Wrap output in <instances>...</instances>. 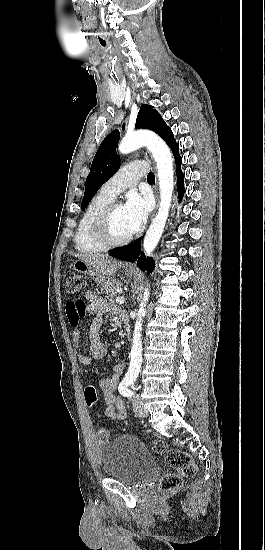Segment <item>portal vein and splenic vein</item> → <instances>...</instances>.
<instances>
[{"mask_svg": "<svg viewBox=\"0 0 265 550\" xmlns=\"http://www.w3.org/2000/svg\"><path fill=\"white\" fill-rule=\"evenodd\" d=\"M125 302L124 298L122 297H116V303L123 304Z\"/></svg>", "mask_w": 265, "mask_h": 550, "instance_id": "18ae733b", "label": "portal vein and splenic vein"}]
</instances>
